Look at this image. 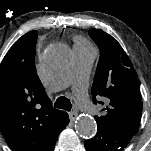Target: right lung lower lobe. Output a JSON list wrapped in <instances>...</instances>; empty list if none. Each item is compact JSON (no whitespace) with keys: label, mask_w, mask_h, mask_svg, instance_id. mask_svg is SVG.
<instances>
[{"label":"right lung lower lobe","mask_w":151,"mask_h":151,"mask_svg":"<svg viewBox=\"0 0 151 151\" xmlns=\"http://www.w3.org/2000/svg\"><path fill=\"white\" fill-rule=\"evenodd\" d=\"M68 123H69V120H66V121H65L64 128L67 126Z\"/></svg>","instance_id":"1"}]
</instances>
